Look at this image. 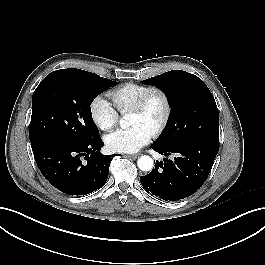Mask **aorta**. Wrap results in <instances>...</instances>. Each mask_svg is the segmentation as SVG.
<instances>
[{"instance_id": "aorta-1", "label": "aorta", "mask_w": 265, "mask_h": 265, "mask_svg": "<svg viewBox=\"0 0 265 265\" xmlns=\"http://www.w3.org/2000/svg\"><path fill=\"white\" fill-rule=\"evenodd\" d=\"M128 122L124 119L120 120V126L122 128H126L128 126ZM138 168L142 171H151L154 166L153 159L148 155L141 156L137 161Z\"/></svg>"}]
</instances>
